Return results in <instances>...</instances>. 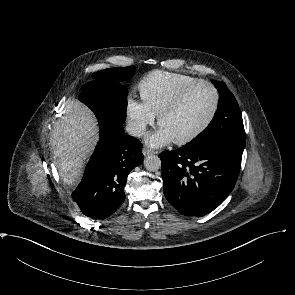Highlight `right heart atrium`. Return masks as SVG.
Segmentation results:
<instances>
[{"label": "right heart atrium", "instance_id": "obj_1", "mask_svg": "<svg viewBox=\"0 0 295 295\" xmlns=\"http://www.w3.org/2000/svg\"><path fill=\"white\" fill-rule=\"evenodd\" d=\"M126 112L130 120V132L136 137L142 136L156 119L155 113L144 100H138L132 96L127 99Z\"/></svg>", "mask_w": 295, "mask_h": 295}]
</instances>
